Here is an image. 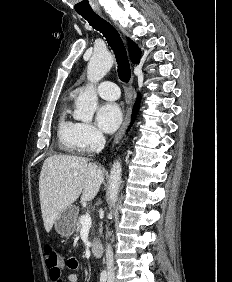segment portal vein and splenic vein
<instances>
[{
    "label": "portal vein and splenic vein",
    "instance_id": "18ae733b",
    "mask_svg": "<svg viewBox=\"0 0 232 282\" xmlns=\"http://www.w3.org/2000/svg\"><path fill=\"white\" fill-rule=\"evenodd\" d=\"M81 224H82V227H87V228L90 227L92 224L90 215H84L81 218Z\"/></svg>",
    "mask_w": 232,
    "mask_h": 282
}]
</instances>
